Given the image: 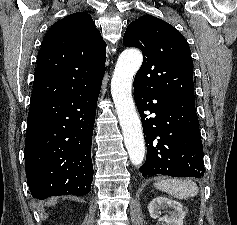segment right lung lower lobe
I'll return each mask as SVG.
<instances>
[{
    "instance_id": "1",
    "label": "right lung lower lobe",
    "mask_w": 237,
    "mask_h": 225,
    "mask_svg": "<svg viewBox=\"0 0 237 225\" xmlns=\"http://www.w3.org/2000/svg\"><path fill=\"white\" fill-rule=\"evenodd\" d=\"M102 80L58 99L31 102L25 169L37 199L88 194L93 180L91 144Z\"/></svg>"
}]
</instances>
